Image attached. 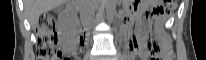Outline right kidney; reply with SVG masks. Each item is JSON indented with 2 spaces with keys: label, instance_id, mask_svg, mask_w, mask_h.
I'll return each mask as SVG.
<instances>
[{
  "label": "right kidney",
  "instance_id": "obj_1",
  "mask_svg": "<svg viewBox=\"0 0 206 60\" xmlns=\"http://www.w3.org/2000/svg\"><path fill=\"white\" fill-rule=\"evenodd\" d=\"M72 27L68 24H62V31L60 34V41L62 45H69L72 42Z\"/></svg>",
  "mask_w": 206,
  "mask_h": 60
}]
</instances>
